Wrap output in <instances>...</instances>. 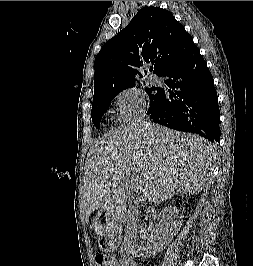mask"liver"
<instances>
[{"instance_id": "6515ba94", "label": "liver", "mask_w": 253, "mask_h": 266, "mask_svg": "<svg viewBox=\"0 0 253 266\" xmlns=\"http://www.w3.org/2000/svg\"><path fill=\"white\" fill-rule=\"evenodd\" d=\"M213 156L203 137L150 121L121 127L97 141L87 155L83 180L91 232L102 237L126 218L124 181L129 177L138 179L144 199L160 204L179 191H202Z\"/></svg>"}]
</instances>
